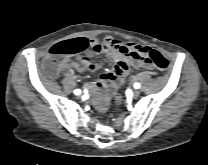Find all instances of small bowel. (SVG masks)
Returning <instances> with one entry per match:
<instances>
[{
    "instance_id": "obj_1",
    "label": "small bowel",
    "mask_w": 208,
    "mask_h": 165,
    "mask_svg": "<svg viewBox=\"0 0 208 165\" xmlns=\"http://www.w3.org/2000/svg\"><path fill=\"white\" fill-rule=\"evenodd\" d=\"M86 40V39H85ZM88 50L77 57L75 61L64 60L61 63L63 69H74L79 73L85 71H96L101 66L100 61L91 59L92 55L105 54L113 62L110 71L102 74L95 84L87 85L89 92L95 93V104L97 108L104 112L108 108V100L128 75L131 67L151 68V64L145 61L142 46L133 42H122L111 36H105L102 40L89 39Z\"/></svg>"
}]
</instances>
